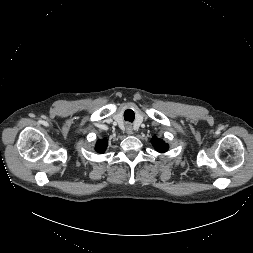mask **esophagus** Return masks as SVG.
Returning a JSON list of instances; mask_svg holds the SVG:
<instances>
[{
    "mask_svg": "<svg viewBox=\"0 0 253 253\" xmlns=\"http://www.w3.org/2000/svg\"><path fill=\"white\" fill-rule=\"evenodd\" d=\"M126 133L129 135L133 134V128L131 124L126 125Z\"/></svg>",
    "mask_w": 253,
    "mask_h": 253,
    "instance_id": "esophagus-1",
    "label": "esophagus"
}]
</instances>
